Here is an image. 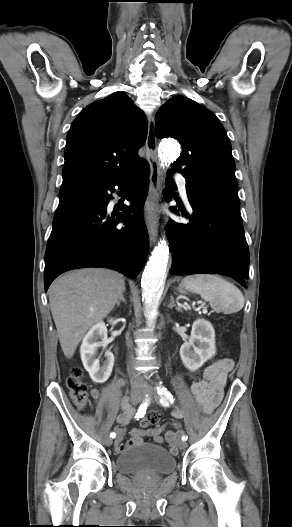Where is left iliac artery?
Here are the masks:
<instances>
[{
  "instance_id": "1",
  "label": "left iliac artery",
  "mask_w": 292,
  "mask_h": 527,
  "mask_svg": "<svg viewBox=\"0 0 292 527\" xmlns=\"http://www.w3.org/2000/svg\"><path fill=\"white\" fill-rule=\"evenodd\" d=\"M156 389H157L158 395L160 396V403L163 406L168 407L169 403H173L174 402V398H173L172 394L170 393V391H168V389L164 385L159 383L157 385ZM181 439L183 441H186L188 439V437H187V435H183Z\"/></svg>"
}]
</instances>
